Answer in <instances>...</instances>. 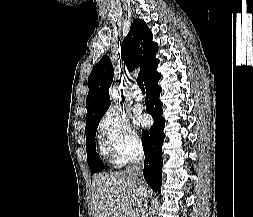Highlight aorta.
I'll list each match as a JSON object with an SVG mask.
<instances>
[{
  "label": "aorta",
  "instance_id": "1",
  "mask_svg": "<svg viewBox=\"0 0 253 217\" xmlns=\"http://www.w3.org/2000/svg\"><path fill=\"white\" fill-rule=\"evenodd\" d=\"M110 97L112 100H118L120 98L117 87L113 86L110 88Z\"/></svg>",
  "mask_w": 253,
  "mask_h": 217
}]
</instances>
